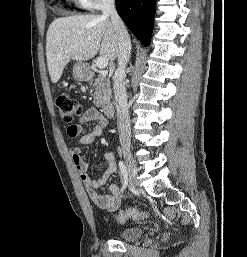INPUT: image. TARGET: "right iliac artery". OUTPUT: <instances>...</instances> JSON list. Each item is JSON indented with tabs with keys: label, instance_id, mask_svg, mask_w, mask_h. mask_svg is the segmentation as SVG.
Returning <instances> with one entry per match:
<instances>
[{
	"label": "right iliac artery",
	"instance_id": "82829eb1",
	"mask_svg": "<svg viewBox=\"0 0 247 257\" xmlns=\"http://www.w3.org/2000/svg\"><path fill=\"white\" fill-rule=\"evenodd\" d=\"M119 168H120V171L122 173V176H123V186H122V190H124L127 186V183H128V175H127V169H126V166L124 164V162L120 161L119 162Z\"/></svg>",
	"mask_w": 247,
	"mask_h": 257
}]
</instances>
